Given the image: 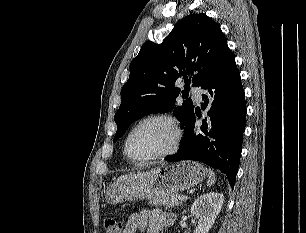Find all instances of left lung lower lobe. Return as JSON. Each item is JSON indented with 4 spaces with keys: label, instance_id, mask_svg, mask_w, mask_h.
<instances>
[{
    "label": "left lung lower lobe",
    "instance_id": "obj_1",
    "mask_svg": "<svg viewBox=\"0 0 306 233\" xmlns=\"http://www.w3.org/2000/svg\"><path fill=\"white\" fill-rule=\"evenodd\" d=\"M207 90L203 95L202 109L208 118L195 129L193 112L184 127V137L179 151L167 157L168 161L191 159L217 168L228 177L234 187L238 172L243 133L245 130L246 103L235 56L229 50L218 68L201 85Z\"/></svg>",
    "mask_w": 306,
    "mask_h": 233
}]
</instances>
